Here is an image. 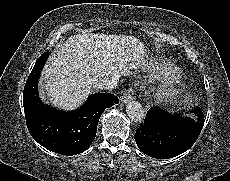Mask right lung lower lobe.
<instances>
[{
  "label": "right lung lower lobe",
  "mask_w": 230,
  "mask_h": 181,
  "mask_svg": "<svg viewBox=\"0 0 230 181\" xmlns=\"http://www.w3.org/2000/svg\"><path fill=\"white\" fill-rule=\"evenodd\" d=\"M49 56L37 59L23 91L26 124L31 136L50 151L75 155L87 150L94 141L102 112L118 103L113 94L96 93L89 96L78 110L64 112L45 106L39 99L37 82Z\"/></svg>",
  "instance_id": "right-lung-lower-lobe-1"
}]
</instances>
